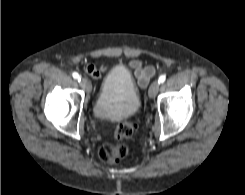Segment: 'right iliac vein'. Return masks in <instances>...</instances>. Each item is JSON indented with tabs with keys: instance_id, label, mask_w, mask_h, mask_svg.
I'll use <instances>...</instances> for the list:
<instances>
[{
	"instance_id": "right-iliac-vein-1",
	"label": "right iliac vein",
	"mask_w": 245,
	"mask_h": 195,
	"mask_svg": "<svg viewBox=\"0 0 245 195\" xmlns=\"http://www.w3.org/2000/svg\"><path fill=\"white\" fill-rule=\"evenodd\" d=\"M80 85L86 90L87 93L91 92L92 85L89 80L83 78L82 80H80Z\"/></svg>"
}]
</instances>
